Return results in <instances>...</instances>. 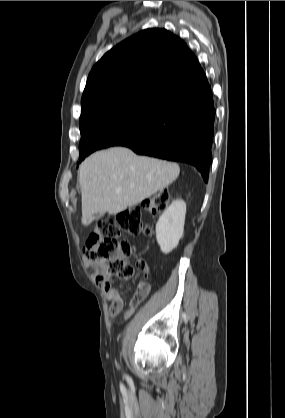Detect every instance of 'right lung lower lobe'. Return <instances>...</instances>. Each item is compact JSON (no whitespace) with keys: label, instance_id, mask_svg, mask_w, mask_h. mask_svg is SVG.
<instances>
[{"label":"right lung lower lobe","instance_id":"98d812e1","mask_svg":"<svg viewBox=\"0 0 285 418\" xmlns=\"http://www.w3.org/2000/svg\"><path fill=\"white\" fill-rule=\"evenodd\" d=\"M215 113L212 89L206 81L167 105L155 121L116 146L128 147L140 155L191 164L207 182Z\"/></svg>","mask_w":285,"mask_h":418}]
</instances>
